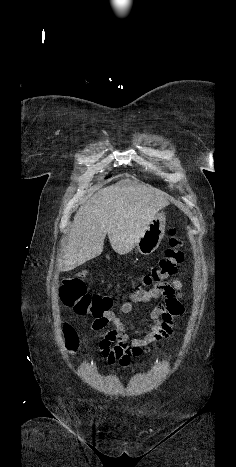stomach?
Returning <instances> with one entry per match:
<instances>
[{"label":"stomach","mask_w":236,"mask_h":467,"mask_svg":"<svg viewBox=\"0 0 236 467\" xmlns=\"http://www.w3.org/2000/svg\"><path fill=\"white\" fill-rule=\"evenodd\" d=\"M166 217L164 213H158L147 226L140 240L135 245L136 253L149 255L159 246L165 232Z\"/></svg>","instance_id":"stomach-1"}]
</instances>
